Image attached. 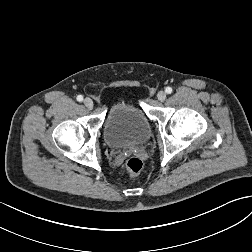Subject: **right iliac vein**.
<instances>
[{"label":"right iliac vein","instance_id":"right-iliac-vein-1","mask_svg":"<svg viewBox=\"0 0 252 252\" xmlns=\"http://www.w3.org/2000/svg\"><path fill=\"white\" fill-rule=\"evenodd\" d=\"M84 105L86 108L91 109L93 107V101L90 98L84 99Z\"/></svg>","mask_w":252,"mask_h":252}]
</instances>
